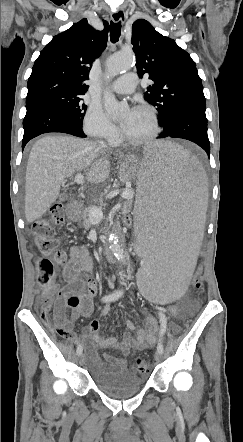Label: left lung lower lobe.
I'll use <instances>...</instances> for the list:
<instances>
[{"label": "left lung lower lobe", "instance_id": "left-lung-lower-lobe-1", "mask_svg": "<svg viewBox=\"0 0 243 442\" xmlns=\"http://www.w3.org/2000/svg\"><path fill=\"white\" fill-rule=\"evenodd\" d=\"M205 110V98H190L180 102L161 124L164 130L158 138L172 137L192 141L210 156Z\"/></svg>", "mask_w": 243, "mask_h": 442}]
</instances>
